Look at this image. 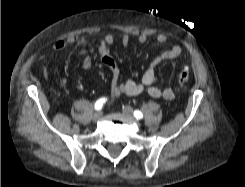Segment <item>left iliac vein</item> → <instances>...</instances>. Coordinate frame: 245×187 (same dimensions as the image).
<instances>
[{
  "label": "left iliac vein",
  "instance_id": "4c4485c4",
  "mask_svg": "<svg viewBox=\"0 0 245 187\" xmlns=\"http://www.w3.org/2000/svg\"><path fill=\"white\" fill-rule=\"evenodd\" d=\"M122 112L124 115L128 116V117H132L133 116V109L130 106H125L122 109Z\"/></svg>",
  "mask_w": 245,
  "mask_h": 187
}]
</instances>
